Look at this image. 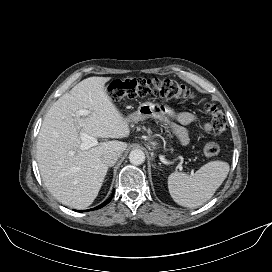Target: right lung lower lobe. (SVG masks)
<instances>
[{"label":"right lung lower lobe","instance_id":"1","mask_svg":"<svg viewBox=\"0 0 272 272\" xmlns=\"http://www.w3.org/2000/svg\"><path fill=\"white\" fill-rule=\"evenodd\" d=\"M113 194H114V192H113ZM113 194H112L111 197L108 198L104 203H102L101 205L97 206V207L94 208V209H99V208L105 206L106 204H108V203L111 201V199H112V197H113Z\"/></svg>","mask_w":272,"mask_h":272}]
</instances>
